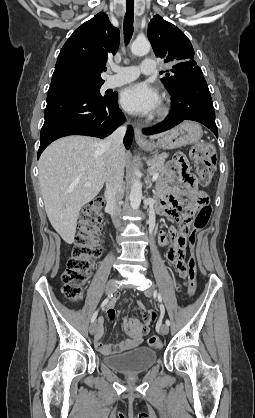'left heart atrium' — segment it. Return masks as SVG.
I'll list each match as a JSON object with an SVG mask.
<instances>
[{
    "label": "left heart atrium",
    "mask_w": 255,
    "mask_h": 418,
    "mask_svg": "<svg viewBox=\"0 0 255 418\" xmlns=\"http://www.w3.org/2000/svg\"><path fill=\"white\" fill-rule=\"evenodd\" d=\"M160 102L157 90L143 82L130 85L121 94L122 107L136 115H146L155 111Z\"/></svg>",
    "instance_id": "obj_1"
}]
</instances>
